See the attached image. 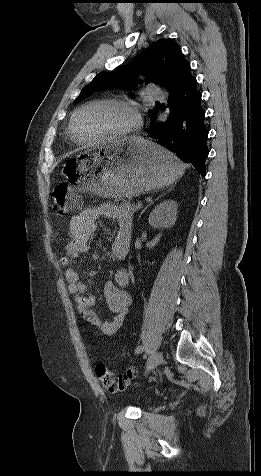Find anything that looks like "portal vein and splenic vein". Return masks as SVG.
<instances>
[{"mask_svg": "<svg viewBox=\"0 0 261 476\" xmlns=\"http://www.w3.org/2000/svg\"><path fill=\"white\" fill-rule=\"evenodd\" d=\"M137 206L140 208L142 206V203L141 202H138L137 203Z\"/></svg>", "mask_w": 261, "mask_h": 476, "instance_id": "obj_1", "label": "portal vein and splenic vein"}]
</instances>
